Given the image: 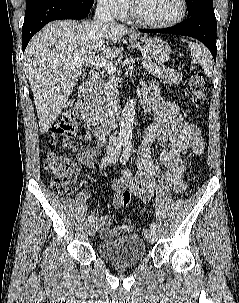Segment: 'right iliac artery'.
<instances>
[{
    "label": "right iliac artery",
    "instance_id": "right-iliac-artery-1",
    "mask_svg": "<svg viewBox=\"0 0 239 303\" xmlns=\"http://www.w3.org/2000/svg\"><path fill=\"white\" fill-rule=\"evenodd\" d=\"M122 146H124V143L123 142H118V144H117V146H116V150H120L121 148H122ZM111 159H112V155L111 156H107V157H104L103 159H102V161H101V164L103 165V166H107V165H109V163L111 162ZM94 215H90L89 217H88V221L91 223V222H94Z\"/></svg>",
    "mask_w": 239,
    "mask_h": 303
}]
</instances>
